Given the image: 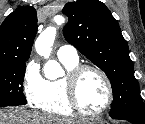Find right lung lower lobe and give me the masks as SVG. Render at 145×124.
Here are the masks:
<instances>
[{
    "label": "right lung lower lobe",
    "instance_id": "right-lung-lower-lobe-1",
    "mask_svg": "<svg viewBox=\"0 0 145 124\" xmlns=\"http://www.w3.org/2000/svg\"><path fill=\"white\" fill-rule=\"evenodd\" d=\"M5 106H19V105L18 104L0 105V107H5Z\"/></svg>",
    "mask_w": 145,
    "mask_h": 124
}]
</instances>
